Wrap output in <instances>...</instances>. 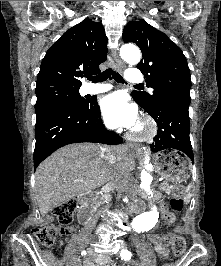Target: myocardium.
Wrapping results in <instances>:
<instances>
[{"instance_id":"obj_1","label":"myocardium","mask_w":221,"mask_h":266,"mask_svg":"<svg viewBox=\"0 0 221 266\" xmlns=\"http://www.w3.org/2000/svg\"><path fill=\"white\" fill-rule=\"evenodd\" d=\"M157 132V126L155 122L150 119H144L140 125L130 132V137L136 141H146L152 139Z\"/></svg>"}]
</instances>
